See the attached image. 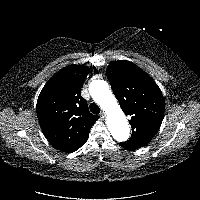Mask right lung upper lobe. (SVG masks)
I'll return each mask as SVG.
<instances>
[{
	"label": "right lung upper lobe",
	"mask_w": 200,
	"mask_h": 200,
	"mask_svg": "<svg viewBox=\"0 0 200 200\" xmlns=\"http://www.w3.org/2000/svg\"><path fill=\"white\" fill-rule=\"evenodd\" d=\"M89 68L69 65L43 87L37 100V116L44 135L56 149L72 153L88 140L98 116L89 112L81 88Z\"/></svg>",
	"instance_id": "right-lung-upper-lobe-1"
}]
</instances>
